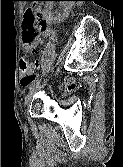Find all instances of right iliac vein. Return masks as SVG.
Segmentation results:
<instances>
[{
    "label": "right iliac vein",
    "instance_id": "obj_1",
    "mask_svg": "<svg viewBox=\"0 0 123 167\" xmlns=\"http://www.w3.org/2000/svg\"><path fill=\"white\" fill-rule=\"evenodd\" d=\"M44 85H45V84H44ZM42 86H43V85H42ZM42 86H41V85H37L34 89H32V90L28 93V95H27L26 98H25V102H24V105H25V106L30 102V100L32 99L34 93H35L38 89H40Z\"/></svg>",
    "mask_w": 123,
    "mask_h": 167
}]
</instances>
